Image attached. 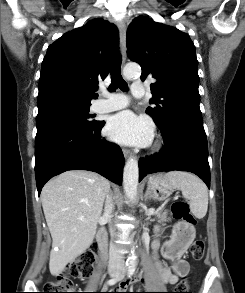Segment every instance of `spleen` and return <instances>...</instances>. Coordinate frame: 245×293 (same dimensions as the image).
I'll list each match as a JSON object with an SVG mask.
<instances>
[{"label":"spleen","instance_id":"spleen-1","mask_svg":"<svg viewBox=\"0 0 245 293\" xmlns=\"http://www.w3.org/2000/svg\"><path fill=\"white\" fill-rule=\"evenodd\" d=\"M165 177L175 188L181 190L183 196L189 200L193 215L202 219L208 209V190L204 182L197 176L182 171L168 172Z\"/></svg>","mask_w":245,"mask_h":293}]
</instances>
